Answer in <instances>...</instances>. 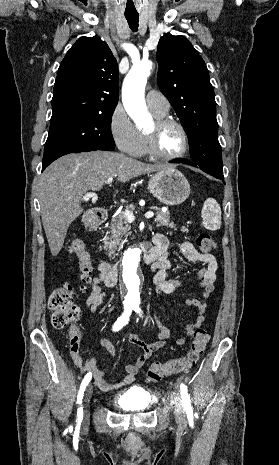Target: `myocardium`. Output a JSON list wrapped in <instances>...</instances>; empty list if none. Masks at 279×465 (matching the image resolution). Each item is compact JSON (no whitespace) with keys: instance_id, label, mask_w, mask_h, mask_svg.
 <instances>
[{"instance_id":"1","label":"myocardium","mask_w":279,"mask_h":465,"mask_svg":"<svg viewBox=\"0 0 279 465\" xmlns=\"http://www.w3.org/2000/svg\"><path fill=\"white\" fill-rule=\"evenodd\" d=\"M169 125L176 126L179 129L182 136V147L180 151L174 154L162 153L157 145L159 132ZM145 137L148 153L151 156L160 160L171 161L180 159L187 153L189 149V136L186 128L180 121L171 117L156 118L153 123V127L145 132Z\"/></svg>"}]
</instances>
